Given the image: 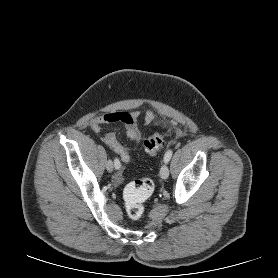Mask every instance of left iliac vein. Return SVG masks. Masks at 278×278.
I'll return each mask as SVG.
<instances>
[{"mask_svg":"<svg viewBox=\"0 0 278 278\" xmlns=\"http://www.w3.org/2000/svg\"><path fill=\"white\" fill-rule=\"evenodd\" d=\"M160 176L162 179H167L169 176V168L167 166V164H164L161 169H160Z\"/></svg>","mask_w":278,"mask_h":278,"instance_id":"obj_1","label":"left iliac vein"}]
</instances>
